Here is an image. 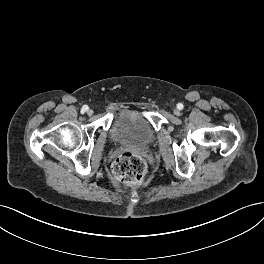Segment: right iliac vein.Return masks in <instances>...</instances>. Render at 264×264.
<instances>
[{
	"label": "right iliac vein",
	"mask_w": 264,
	"mask_h": 264,
	"mask_svg": "<svg viewBox=\"0 0 264 264\" xmlns=\"http://www.w3.org/2000/svg\"><path fill=\"white\" fill-rule=\"evenodd\" d=\"M87 114H88L89 116H91V115L93 114V110L89 109V110L87 111Z\"/></svg>",
	"instance_id": "right-iliac-vein-1"
}]
</instances>
